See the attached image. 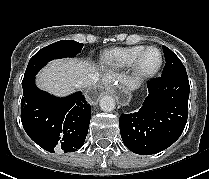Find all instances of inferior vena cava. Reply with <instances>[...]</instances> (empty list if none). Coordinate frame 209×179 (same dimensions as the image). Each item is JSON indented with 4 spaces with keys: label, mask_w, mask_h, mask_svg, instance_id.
<instances>
[{
    "label": "inferior vena cava",
    "mask_w": 209,
    "mask_h": 179,
    "mask_svg": "<svg viewBox=\"0 0 209 179\" xmlns=\"http://www.w3.org/2000/svg\"><path fill=\"white\" fill-rule=\"evenodd\" d=\"M98 80H99L98 74H90V75L82 78L81 80H79L77 82V87H82V88L91 87V86L95 85Z\"/></svg>",
    "instance_id": "1"
}]
</instances>
